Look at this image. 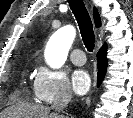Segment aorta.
Masks as SVG:
<instances>
[{
  "instance_id": "762f6f07",
  "label": "aorta",
  "mask_w": 133,
  "mask_h": 118,
  "mask_svg": "<svg viewBox=\"0 0 133 118\" xmlns=\"http://www.w3.org/2000/svg\"><path fill=\"white\" fill-rule=\"evenodd\" d=\"M75 36L76 30L70 25L64 26L54 33L45 53L46 62L50 67L60 68L63 66Z\"/></svg>"
}]
</instances>
